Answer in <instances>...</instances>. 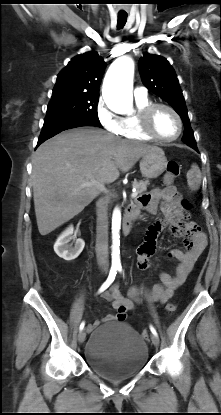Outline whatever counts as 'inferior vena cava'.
<instances>
[{"label":"inferior vena cava","instance_id":"1","mask_svg":"<svg viewBox=\"0 0 221 415\" xmlns=\"http://www.w3.org/2000/svg\"><path fill=\"white\" fill-rule=\"evenodd\" d=\"M96 256L100 267L107 268L108 261V214L107 201L100 199L97 209Z\"/></svg>","mask_w":221,"mask_h":415}]
</instances>
